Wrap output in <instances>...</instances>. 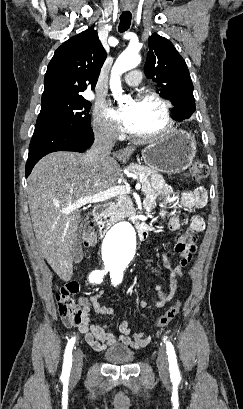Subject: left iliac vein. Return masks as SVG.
Segmentation results:
<instances>
[{
  "instance_id": "obj_1",
  "label": "left iliac vein",
  "mask_w": 243,
  "mask_h": 409,
  "mask_svg": "<svg viewBox=\"0 0 243 409\" xmlns=\"http://www.w3.org/2000/svg\"><path fill=\"white\" fill-rule=\"evenodd\" d=\"M157 367L162 379H168L169 377V363L165 349L162 347L159 349L157 358Z\"/></svg>"
}]
</instances>
